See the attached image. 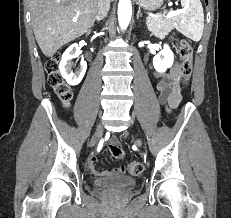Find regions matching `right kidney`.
Here are the masks:
<instances>
[{"mask_svg": "<svg viewBox=\"0 0 231 218\" xmlns=\"http://www.w3.org/2000/svg\"><path fill=\"white\" fill-rule=\"evenodd\" d=\"M79 54L80 48L78 44L75 43L66 49L61 58L59 69L62 77L67 81L69 85H78L81 82L87 69V63L84 60H82L80 63V68L73 73L72 60L78 57Z\"/></svg>", "mask_w": 231, "mask_h": 218, "instance_id": "ca27d5eb", "label": "right kidney"}]
</instances>
